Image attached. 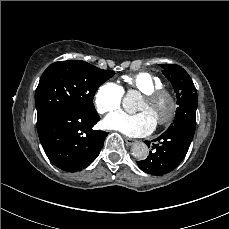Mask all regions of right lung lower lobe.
Returning a JSON list of instances; mask_svg holds the SVG:
<instances>
[{
  "mask_svg": "<svg viewBox=\"0 0 229 229\" xmlns=\"http://www.w3.org/2000/svg\"><path fill=\"white\" fill-rule=\"evenodd\" d=\"M99 115L61 110L37 128L49 160L58 168L75 172L86 168L99 155L107 133L93 130Z\"/></svg>",
  "mask_w": 229,
  "mask_h": 229,
  "instance_id": "obj_1",
  "label": "right lung lower lobe"
}]
</instances>
